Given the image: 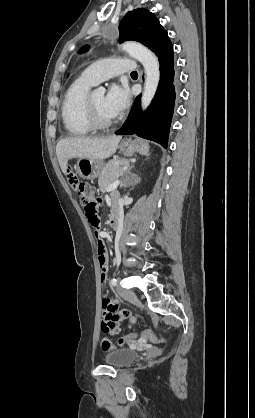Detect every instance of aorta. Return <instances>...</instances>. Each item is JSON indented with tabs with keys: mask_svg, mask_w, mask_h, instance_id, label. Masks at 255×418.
<instances>
[{
	"mask_svg": "<svg viewBox=\"0 0 255 418\" xmlns=\"http://www.w3.org/2000/svg\"><path fill=\"white\" fill-rule=\"evenodd\" d=\"M121 47L137 59L144 67L146 77L141 98V107L144 111L150 105L159 84L160 71L158 58L148 48L139 43L126 42ZM96 91L104 94L106 90L104 87H98Z\"/></svg>",
	"mask_w": 255,
	"mask_h": 418,
	"instance_id": "obj_1",
	"label": "aorta"
}]
</instances>
